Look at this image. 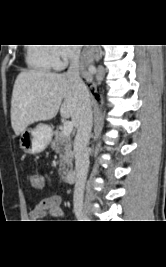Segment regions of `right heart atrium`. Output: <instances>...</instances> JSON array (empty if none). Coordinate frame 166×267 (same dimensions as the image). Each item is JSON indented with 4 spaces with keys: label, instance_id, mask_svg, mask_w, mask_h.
<instances>
[{
    "label": "right heart atrium",
    "instance_id": "obj_1",
    "mask_svg": "<svg viewBox=\"0 0 166 267\" xmlns=\"http://www.w3.org/2000/svg\"><path fill=\"white\" fill-rule=\"evenodd\" d=\"M53 53L57 62V67L60 68L64 63L74 57L75 52L73 48L64 45H57L53 47Z\"/></svg>",
    "mask_w": 166,
    "mask_h": 267
}]
</instances>
